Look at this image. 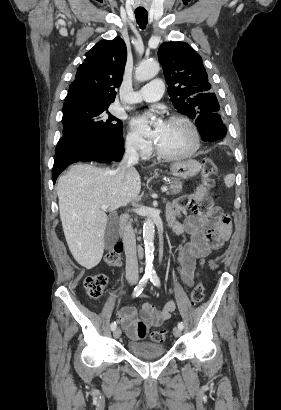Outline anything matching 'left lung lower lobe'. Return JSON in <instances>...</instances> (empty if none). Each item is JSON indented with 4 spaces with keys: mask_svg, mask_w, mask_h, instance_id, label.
<instances>
[{
    "mask_svg": "<svg viewBox=\"0 0 281 410\" xmlns=\"http://www.w3.org/2000/svg\"><path fill=\"white\" fill-rule=\"evenodd\" d=\"M195 124L203 141L219 140L227 133V128L217 113H202L196 118Z\"/></svg>",
    "mask_w": 281,
    "mask_h": 410,
    "instance_id": "0a47b994",
    "label": "left lung lower lobe"
}]
</instances>
